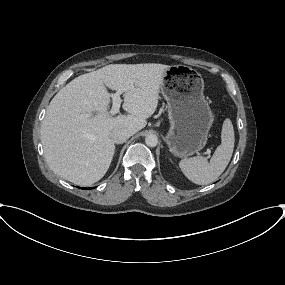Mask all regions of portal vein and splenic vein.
Returning <instances> with one entry per match:
<instances>
[{
	"label": "portal vein and splenic vein",
	"instance_id": "18ae733b",
	"mask_svg": "<svg viewBox=\"0 0 285 285\" xmlns=\"http://www.w3.org/2000/svg\"><path fill=\"white\" fill-rule=\"evenodd\" d=\"M121 94H122V91L118 90L116 93L111 95L112 100H113V105H112V108H111L109 113L112 116L119 112L120 105H121V102H122V100L120 98ZM210 153H211V151L208 149L207 150L208 156H210Z\"/></svg>",
	"mask_w": 285,
	"mask_h": 285
}]
</instances>
